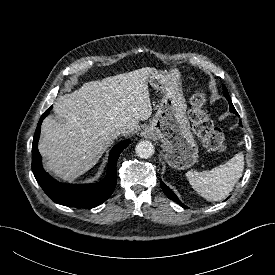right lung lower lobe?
Segmentation results:
<instances>
[{
    "label": "right lung lower lobe",
    "mask_w": 275,
    "mask_h": 275,
    "mask_svg": "<svg viewBox=\"0 0 275 275\" xmlns=\"http://www.w3.org/2000/svg\"><path fill=\"white\" fill-rule=\"evenodd\" d=\"M52 106L41 116L32 143V171L44 190L54 202L75 208H93L102 204L112 194L117 181L116 165L120 153L129 145V140H124L114 146L110 152L106 177L94 184H64L49 176L42 167V159L38 151L40 126L43 119L49 114Z\"/></svg>",
    "instance_id": "obj_1"
}]
</instances>
